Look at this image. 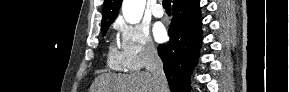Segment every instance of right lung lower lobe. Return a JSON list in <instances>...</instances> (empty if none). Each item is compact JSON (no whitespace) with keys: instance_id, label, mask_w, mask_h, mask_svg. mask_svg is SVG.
Here are the masks:
<instances>
[{"instance_id":"obj_1","label":"right lung lower lobe","mask_w":289,"mask_h":92,"mask_svg":"<svg viewBox=\"0 0 289 92\" xmlns=\"http://www.w3.org/2000/svg\"><path fill=\"white\" fill-rule=\"evenodd\" d=\"M173 18L168 44L158 46L163 69L172 92H189V77L196 65L201 46L202 16L199 0L172 6Z\"/></svg>"}]
</instances>
